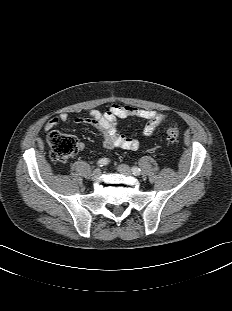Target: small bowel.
Segmentation results:
<instances>
[{
	"mask_svg": "<svg viewBox=\"0 0 232 311\" xmlns=\"http://www.w3.org/2000/svg\"><path fill=\"white\" fill-rule=\"evenodd\" d=\"M129 117L145 120L146 125L143 128L142 134L144 137H150L154 134L158 125L164 118V114L152 109L137 106L113 104L106 112L91 110L87 116L71 117L68 114L62 113L48 120L44 126V130L52 131L61 123L73 121L78 124L90 125L98 129L102 135L105 149L113 150L119 148L137 150L139 148V141L119 133L117 129L118 119ZM78 148L83 150L85 144L82 142L78 143Z\"/></svg>",
	"mask_w": 232,
	"mask_h": 311,
	"instance_id": "1",
	"label": "small bowel"
}]
</instances>
